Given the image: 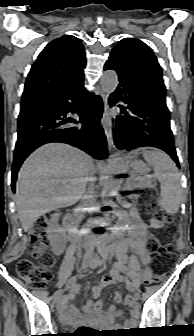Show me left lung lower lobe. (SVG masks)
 Returning <instances> with one entry per match:
<instances>
[{
	"instance_id": "0a47b994",
	"label": "left lung lower lobe",
	"mask_w": 194,
	"mask_h": 336,
	"mask_svg": "<svg viewBox=\"0 0 194 336\" xmlns=\"http://www.w3.org/2000/svg\"><path fill=\"white\" fill-rule=\"evenodd\" d=\"M104 69L115 70L119 78L118 87L109 98L110 106L120 101L128 104V110L122 109V115L116 117L117 148L128 151L146 146L159 148L179 165L166 102L149 93L116 56L110 55Z\"/></svg>"
}]
</instances>
